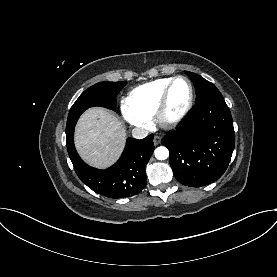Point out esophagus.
I'll return each mask as SVG.
<instances>
[{"mask_svg": "<svg viewBox=\"0 0 277 277\" xmlns=\"http://www.w3.org/2000/svg\"><path fill=\"white\" fill-rule=\"evenodd\" d=\"M153 142H154V145H155V146L159 145L160 142H161V137L158 136V135H156V136L154 137Z\"/></svg>", "mask_w": 277, "mask_h": 277, "instance_id": "1", "label": "esophagus"}]
</instances>
